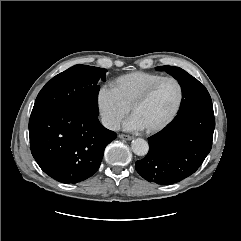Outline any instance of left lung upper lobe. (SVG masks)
<instances>
[{
  "label": "left lung upper lobe",
  "instance_id": "1",
  "mask_svg": "<svg viewBox=\"0 0 241 241\" xmlns=\"http://www.w3.org/2000/svg\"><path fill=\"white\" fill-rule=\"evenodd\" d=\"M157 70L172 75L182 88V101L176 118L201 108H213L207 89L185 70L174 66H160Z\"/></svg>",
  "mask_w": 241,
  "mask_h": 241
}]
</instances>
